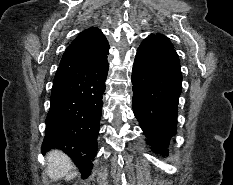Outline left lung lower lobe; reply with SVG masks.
<instances>
[{"label":"left lung lower lobe","mask_w":233,"mask_h":185,"mask_svg":"<svg viewBox=\"0 0 233 185\" xmlns=\"http://www.w3.org/2000/svg\"><path fill=\"white\" fill-rule=\"evenodd\" d=\"M181 82L174 48L152 36L143 40L133 66L132 104L147 143L156 153L168 155L167 146L176 133Z\"/></svg>","instance_id":"0a47b994"}]
</instances>
